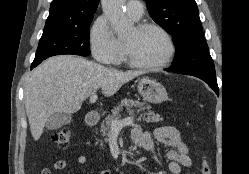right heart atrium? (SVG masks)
<instances>
[{
	"instance_id": "d8ad5b80",
	"label": "right heart atrium",
	"mask_w": 249,
	"mask_h": 174,
	"mask_svg": "<svg viewBox=\"0 0 249 174\" xmlns=\"http://www.w3.org/2000/svg\"><path fill=\"white\" fill-rule=\"evenodd\" d=\"M90 42L93 56L101 63H115L121 57V45L103 17L94 22L90 31Z\"/></svg>"
}]
</instances>
